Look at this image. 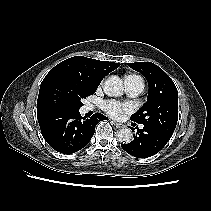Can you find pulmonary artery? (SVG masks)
Masks as SVG:
<instances>
[{
	"label": "pulmonary artery",
	"instance_id": "1",
	"mask_svg": "<svg viewBox=\"0 0 211 211\" xmlns=\"http://www.w3.org/2000/svg\"><path fill=\"white\" fill-rule=\"evenodd\" d=\"M125 87L127 93L130 96L135 97L143 93L145 89V84L142 78L129 77L125 79ZM140 128H143V125H140Z\"/></svg>",
	"mask_w": 211,
	"mask_h": 211
}]
</instances>
